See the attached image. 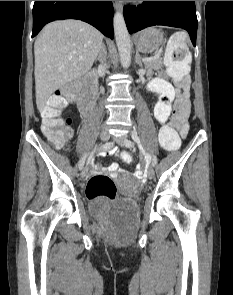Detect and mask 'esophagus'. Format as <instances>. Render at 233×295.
<instances>
[{"label": "esophagus", "mask_w": 233, "mask_h": 295, "mask_svg": "<svg viewBox=\"0 0 233 295\" xmlns=\"http://www.w3.org/2000/svg\"><path fill=\"white\" fill-rule=\"evenodd\" d=\"M113 5L116 10H122L123 8L122 1H113Z\"/></svg>", "instance_id": "esophagus-1"}]
</instances>
